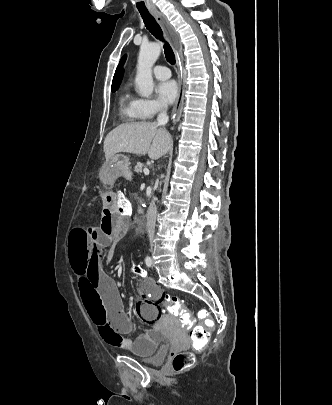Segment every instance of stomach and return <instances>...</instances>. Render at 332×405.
Listing matches in <instances>:
<instances>
[{
  "label": "stomach",
  "mask_w": 332,
  "mask_h": 405,
  "mask_svg": "<svg viewBox=\"0 0 332 405\" xmlns=\"http://www.w3.org/2000/svg\"><path fill=\"white\" fill-rule=\"evenodd\" d=\"M115 161V166L113 167L117 174H126L129 171V158L123 154H117L112 158Z\"/></svg>",
  "instance_id": "1"
}]
</instances>
